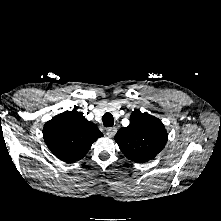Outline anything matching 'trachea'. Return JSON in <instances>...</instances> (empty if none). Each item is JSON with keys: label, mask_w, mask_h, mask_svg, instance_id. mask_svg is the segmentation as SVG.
<instances>
[{"label": "trachea", "mask_w": 221, "mask_h": 221, "mask_svg": "<svg viewBox=\"0 0 221 221\" xmlns=\"http://www.w3.org/2000/svg\"><path fill=\"white\" fill-rule=\"evenodd\" d=\"M114 124V118L111 113L107 112L103 115V125L105 127H112Z\"/></svg>", "instance_id": "obj_1"}]
</instances>
